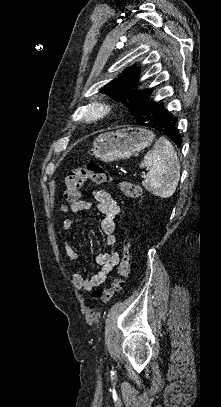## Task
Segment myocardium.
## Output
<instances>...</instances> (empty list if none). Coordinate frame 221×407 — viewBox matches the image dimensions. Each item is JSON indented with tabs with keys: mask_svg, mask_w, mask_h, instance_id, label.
Listing matches in <instances>:
<instances>
[{
	"mask_svg": "<svg viewBox=\"0 0 221 407\" xmlns=\"http://www.w3.org/2000/svg\"><path fill=\"white\" fill-rule=\"evenodd\" d=\"M89 114L83 115L81 113V121L86 124L95 123L104 119L112 110L110 102L105 100H93L88 103Z\"/></svg>",
	"mask_w": 221,
	"mask_h": 407,
	"instance_id": "f54148a6",
	"label": "myocardium"
}]
</instances>
